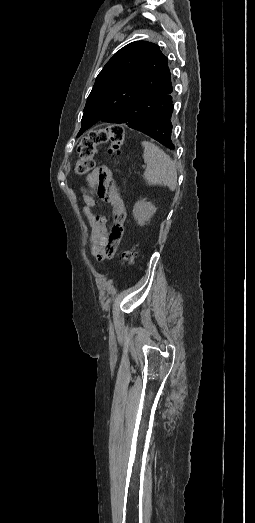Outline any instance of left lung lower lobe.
Segmentation results:
<instances>
[{"instance_id": "0a47b994", "label": "left lung lower lobe", "mask_w": 255, "mask_h": 523, "mask_svg": "<svg viewBox=\"0 0 255 523\" xmlns=\"http://www.w3.org/2000/svg\"><path fill=\"white\" fill-rule=\"evenodd\" d=\"M174 107H177V104L168 106V114H165L161 120L153 121L149 125L134 127V130H144V137H153V140H158L157 144L159 146L166 145V149H173L172 137L170 135H173L174 131V126H171V116L175 114Z\"/></svg>"}]
</instances>
